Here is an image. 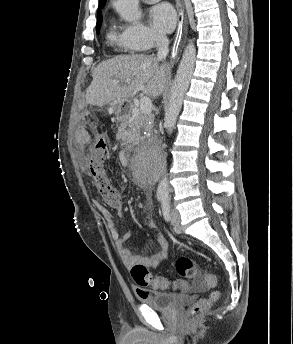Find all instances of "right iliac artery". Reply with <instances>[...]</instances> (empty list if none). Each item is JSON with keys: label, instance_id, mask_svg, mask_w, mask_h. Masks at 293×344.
<instances>
[{"label": "right iliac artery", "instance_id": "1", "mask_svg": "<svg viewBox=\"0 0 293 344\" xmlns=\"http://www.w3.org/2000/svg\"><path fill=\"white\" fill-rule=\"evenodd\" d=\"M163 198H164L163 196H160V197H159V200H162Z\"/></svg>", "mask_w": 293, "mask_h": 344}]
</instances>
